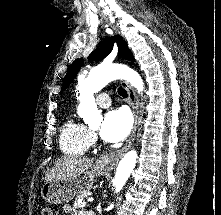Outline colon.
I'll return each mask as SVG.
<instances>
[{"label": "colon", "mask_w": 221, "mask_h": 215, "mask_svg": "<svg viewBox=\"0 0 221 215\" xmlns=\"http://www.w3.org/2000/svg\"><path fill=\"white\" fill-rule=\"evenodd\" d=\"M41 215H58L55 207H46L42 210Z\"/></svg>", "instance_id": "5ec220e1"}]
</instances>
